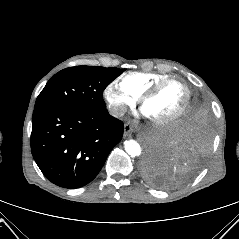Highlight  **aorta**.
<instances>
[{
  "instance_id": "obj_1",
  "label": "aorta",
  "mask_w": 239,
  "mask_h": 239,
  "mask_svg": "<svg viewBox=\"0 0 239 239\" xmlns=\"http://www.w3.org/2000/svg\"><path fill=\"white\" fill-rule=\"evenodd\" d=\"M124 148L131 157H139L141 155V147L139 143L133 139L124 142Z\"/></svg>"
}]
</instances>
